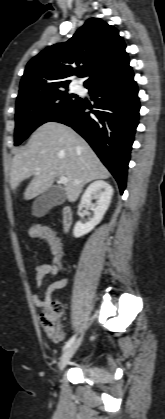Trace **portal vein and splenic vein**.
I'll use <instances>...</instances> for the list:
<instances>
[{"label":"portal vein and splenic vein","mask_w":165,"mask_h":419,"mask_svg":"<svg viewBox=\"0 0 165 419\" xmlns=\"http://www.w3.org/2000/svg\"><path fill=\"white\" fill-rule=\"evenodd\" d=\"M37 170H39V169H37ZM58 182L60 184H64L65 185V184H67L68 179L66 177H60Z\"/></svg>","instance_id":"18ae733b"}]
</instances>
